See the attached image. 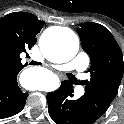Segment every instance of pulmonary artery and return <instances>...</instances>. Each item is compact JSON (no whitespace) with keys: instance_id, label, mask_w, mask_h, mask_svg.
<instances>
[{"instance_id":"pulmonary-artery-1","label":"pulmonary artery","mask_w":124,"mask_h":124,"mask_svg":"<svg viewBox=\"0 0 124 124\" xmlns=\"http://www.w3.org/2000/svg\"><path fill=\"white\" fill-rule=\"evenodd\" d=\"M89 65V57L86 53L81 52L71 62L56 67L59 71H76L83 72ZM84 93L83 88H78L76 91L77 96H81Z\"/></svg>"}]
</instances>
